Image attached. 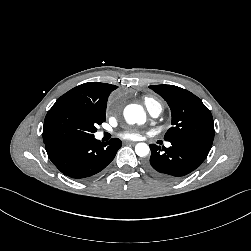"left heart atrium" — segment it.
<instances>
[{"instance_id": "obj_1", "label": "left heart atrium", "mask_w": 251, "mask_h": 251, "mask_svg": "<svg viewBox=\"0 0 251 251\" xmlns=\"http://www.w3.org/2000/svg\"><path fill=\"white\" fill-rule=\"evenodd\" d=\"M141 135L142 133L136 128H131L121 133V137L128 140H137Z\"/></svg>"}]
</instances>
